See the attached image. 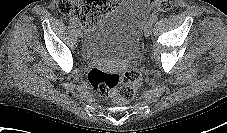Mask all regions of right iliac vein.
I'll use <instances>...</instances> for the list:
<instances>
[{
    "instance_id": "obj_1",
    "label": "right iliac vein",
    "mask_w": 227,
    "mask_h": 133,
    "mask_svg": "<svg viewBox=\"0 0 227 133\" xmlns=\"http://www.w3.org/2000/svg\"><path fill=\"white\" fill-rule=\"evenodd\" d=\"M76 31H77L78 36H79L80 38H82V37H83V32H82V30L80 29L79 26H77Z\"/></svg>"
}]
</instances>
